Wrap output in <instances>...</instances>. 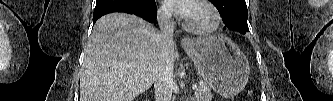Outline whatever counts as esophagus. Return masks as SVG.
Returning a JSON list of instances; mask_svg holds the SVG:
<instances>
[{
    "mask_svg": "<svg viewBox=\"0 0 333 101\" xmlns=\"http://www.w3.org/2000/svg\"><path fill=\"white\" fill-rule=\"evenodd\" d=\"M191 44V40H190V38H188V37H183L182 39H181V45L182 46H189Z\"/></svg>",
    "mask_w": 333,
    "mask_h": 101,
    "instance_id": "1",
    "label": "esophagus"
}]
</instances>
